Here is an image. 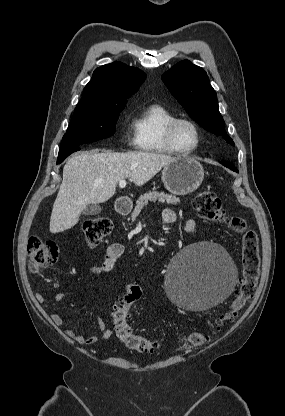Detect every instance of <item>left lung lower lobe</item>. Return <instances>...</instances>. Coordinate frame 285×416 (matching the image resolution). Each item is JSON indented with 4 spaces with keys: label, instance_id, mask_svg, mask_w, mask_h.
I'll return each instance as SVG.
<instances>
[{
    "label": "left lung lower lobe",
    "instance_id": "obj_1",
    "mask_svg": "<svg viewBox=\"0 0 285 416\" xmlns=\"http://www.w3.org/2000/svg\"><path fill=\"white\" fill-rule=\"evenodd\" d=\"M220 163L222 165H224L225 167H227V168H229V169L238 173V170L235 168V166L232 163H230V162H220Z\"/></svg>",
    "mask_w": 285,
    "mask_h": 416
}]
</instances>
